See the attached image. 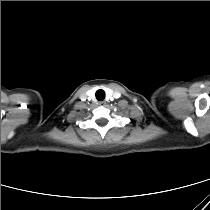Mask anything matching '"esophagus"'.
Returning <instances> with one entry per match:
<instances>
[{
	"instance_id": "obj_1",
	"label": "esophagus",
	"mask_w": 210,
	"mask_h": 210,
	"mask_svg": "<svg viewBox=\"0 0 210 210\" xmlns=\"http://www.w3.org/2000/svg\"><path fill=\"white\" fill-rule=\"evenodd\" d=\"M98 104H99L100 106H104V105H105V102H104V101H100Z\"/></svg>"
}]
</instances>
